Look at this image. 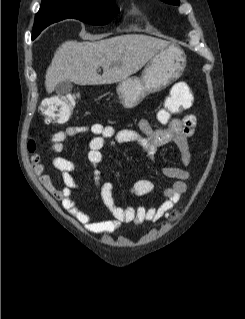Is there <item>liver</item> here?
<instances>
[{"mask_svg":"<svg viewBox=\"0 0 245 319\" xmlns=\"http://www.w3.org/2000/svg\"><path fill=\"white\" fill-rule=\"evenodd\" d=\"M169 44L143 34L120 35L97 42L66 41L56 50L46 71V91L52 93L61 81L83 86L123 81ZM100 66L102 75L97 73Z\"/></svg>","mask_w":245,"mask_h":319,"instance_id":"liver-1","label":"liver"}]
</instances>
